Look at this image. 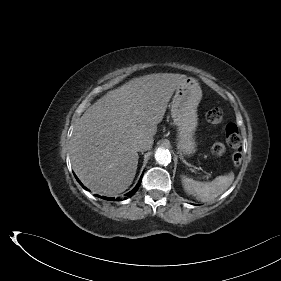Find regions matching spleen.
Segmentation results:
<instances>
[{"label": "spleen", "instance_id": "1", "mask_svg": "<svg viewBox=\"0 0 281 281\" xmlns=\"http://www.w3.org/2000/svg\"><path fill=\"white\" fill-rule=\"evenodd\" d=\"M234 173L218 176L211 182H198L186 176L182 177L184 190L191 195L196 196L201 202H212L222 193H224L233 183Z\"/></svg>", "mask_w": 281, "mask_h": 281}]
</instances>
